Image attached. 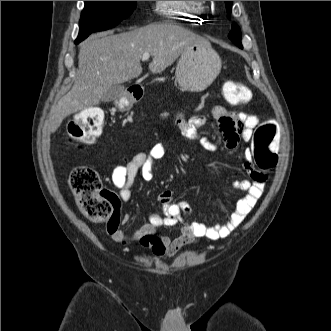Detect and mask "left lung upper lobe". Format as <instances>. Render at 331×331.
<instances>
[{"instance_id":"obj_1","label":"left lung upper lobe","mask_w":331,"mask_h":331,"mask_svg":"<svg viewBox=\"0 0 331 331\" xmlns=\"http://www.w3.org/2000/svg\"><path fill=\"white\" fill-rule=\"evenodd\" d=\"M226 3V8L228 13H231V5H232V1H225ZM228 37L236 44L238 45L240 48H242V44H241V31L240 28L238 27V25L236 23L232 24V30L229 33Z\"/></svg>"}]
</instances>
